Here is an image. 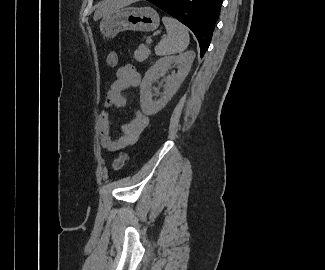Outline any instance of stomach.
Here are the masks:
<instances>
[{"instance_id": "0dacf381", "label": "stomach", "mask_w": 325, "mask_h": 270, "mask_svg": "<svg viewBox=\"0 0 325 270\" xmlns=\"http://www.w3.org/2000/svg\"><path fill=\"white\" fill-rule=\"evenodd\" d=\"M160 23L157 12L150 7L122 8L103 17L100 31L106 38H113L125 30L154 31Z\"/></svg>"}]
</instances>
